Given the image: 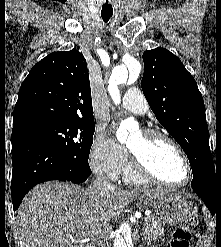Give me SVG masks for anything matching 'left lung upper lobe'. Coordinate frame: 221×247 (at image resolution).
<instances>
[{"mask_svg": "<svg viewBox=\"0 0 221 247\" xmlns=\"http://www.w3.org/2000/svg\"><path fill=\"white\" fill-rule=\"evenodd\" d=\"M142 90L158 121L187 154L193 176L214 166L202 94L178 57L164 48L143 53Z\"/></svg>", "mask_w": 221, "mask_h": 247, "instance_id": "left-lung-upper-lobe-1", "label": "left lung upper lobe"}]
</instances>
